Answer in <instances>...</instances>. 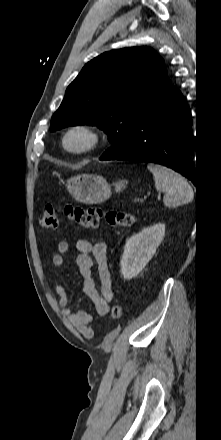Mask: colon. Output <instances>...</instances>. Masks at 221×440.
I'll list each match as a JSON object with an SVG mask.
<instances>
[{
    "mask_svg": "<svg viewBox=\"0 0 221 440\" xmlns=\"http://www.w3.org/2000/svg\"><path fill=\"white\" fill-rule=\"evenodd\" d=\"M64 215L73 223L83 228H96L104 219L109 225L115 227H130L135 223V216L130 213L119 211H103L100 208L65 206ZM40 224L45 230H55L58 227L57 209L52 205H46L40 215ZM111 317L119 320L122 317V307L116 304L111 309Z\"/></svg>",
    "mask_w": 221,
    "mask_h": 440,
    "instance_id": "1",
    "label": "colon"
}]
</instances>
